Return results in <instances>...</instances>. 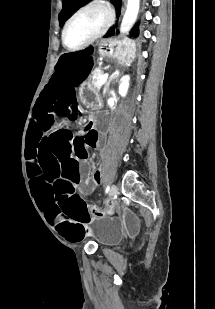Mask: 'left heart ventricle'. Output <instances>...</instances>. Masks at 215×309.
Wrapping results in <instances>:
<instances>
[{"label": "left heart ventricle", "instance_id": "1", "mask_svg": "<svg viewBox=\"0 0 215 309\" xmlns=\"http://www.w3.org/2000/svg\"><path fill=\"white\" fill-rule=\"evenodd\" d=\"M97 24V17L91 14L79 17L69 28L67 33V42L70 45H76L88 37Z\"/></svg>", "mask_w": 215, "mask_h": 309}]
</instances>
